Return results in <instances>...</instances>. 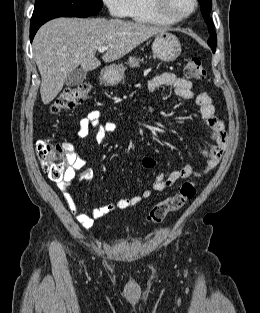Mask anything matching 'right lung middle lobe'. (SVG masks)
<instances>
[{
	"label": "right lung middle lobe",
	"mask_w": 260,
	"mask_h": 313,
	"mask_svg": "<svg viewBox=\"0 0 260 313\" xmlns=\"http://www.w3.org/2000/svg\"><path fill=\"white\" fill-rule=\"evenodd\" d=\"M102 5V0H35L33 15L92 16Z\"/></svg>",
	"instance_id": "1"
}]
</instances>
